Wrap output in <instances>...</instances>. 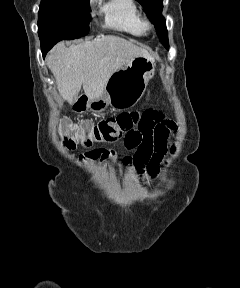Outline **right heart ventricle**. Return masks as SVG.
<instances>
[{"label":"right heart ventricle","mask_w":240,"mask_h":288,"mask_svg":"<svg viewBox=\"0 0 240 288\" xmlns=\"http://www.w3.org/2000/svg\"><path fill=\"white\" fill-rule=\"evenodd\" d=\"M105 26L140 37L144 35L142 16L135 0H107L101 7Z\"/></svg>","instance_id":"1"}]
</instances>
